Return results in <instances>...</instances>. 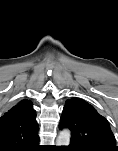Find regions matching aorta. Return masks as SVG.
I'll return each mask as SVG.
<instances>
[{"label": "aorta", "instance_id": "762f6f07", "mask_svg": "<svg viewBox=\"0 0 118 151\" xmlns=\"http://www.w3.org/2000/svg\"><path fill=\"white\" fill-rule=\"evenodd\" d=\"M71 133L68 129H64L59 132V135L56 139L57 146H69L70 144Z\"/></svg>", "mask_w": 118, "mask_h": 151}]
</instances>
